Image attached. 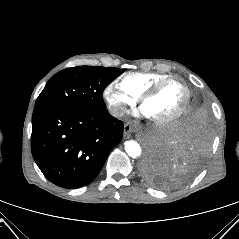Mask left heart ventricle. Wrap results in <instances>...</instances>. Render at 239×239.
<instances>
[{
	"mask_svg": "<svg viewBox=\"0 0 239 239\" xmlns=\"http://www.w3.org/2000/svg\"><path fill=\"white\" fill-rule=\"evenodd\" d=\"M185 97V89L180 83H169L156 95L146 100L142 108L149 117H167L180 109L184 103Z\"/></svg>",
	"mask_w": 239,
	"mask_h": 239,
	"instance_id": "left-heart-ventricle-1",
	"label": "left heart ventricle"
}]
</instances>
